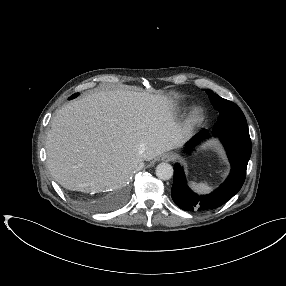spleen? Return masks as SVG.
Returning a JSON list of instances; mask_svg holds the SVG:
<instances>
[{"mask_svg": "<svg viewBox=\"0 0 286 286\" xmlns=\"http://www.w3.org/2000/svg\"><path fill=\"white\" fill-rule=\"evenodd\" d=\"M191 185L198 192H208L211 189L206 183L191 182Z\"/></svg>", "mask_w": 286, "mask_h": 286, "instance_id": "obj_1", "label": "spleen"}]
</instances>
